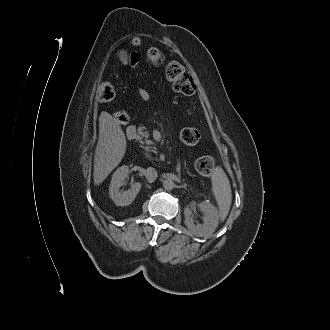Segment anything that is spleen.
<instances>
[{
    "mask_svg": "<svg viewBox=\"0 0 330 330\" xmlns=\"http://www.w3.org/2000/svg\"><path fill=\"white\" fill-rule=\"evenodd\" d=\"M212 191L215 195L221 221H224L229 213L232 193L229 179L224 170L217 166L212 174Z\"/></svg>",
    "mask_w": 330,
    "mask_h": 330,
    "instance_id": "3e777b00",
    "label": "spleen"
}]
</instances>
